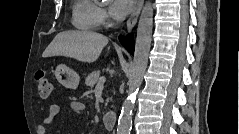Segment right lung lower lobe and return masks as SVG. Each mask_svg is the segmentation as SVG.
I'll use <instances>...</instances> for the list:
<instances>
[{
	"label": "right lung lower lobe",
	"mask_w": 239,
	"mask_h": 134,
	"mask_svg": "<svg viewBox=\"0 0 239 134\" xmlns=\"http://www.w3.org/2000/svg\"><path fill=\"white\" fill-rule=\"evenodd\" d=\"M121 44L131 53H134V40L131 35H128L127 38L120 37L119 38Z\"/></svg>",
	"instance_id": "1"
}]
</instances>
